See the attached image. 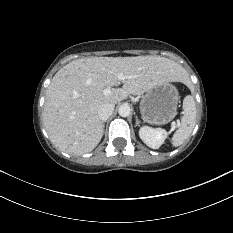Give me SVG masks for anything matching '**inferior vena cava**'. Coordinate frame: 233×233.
<instances>
[{
  "label": "inferior vena cava",
  "instance_id": "inferior-vena-cava-1",
  "mask_svg": "<svg viewBox=\"0 0 233 233\" xmlns=\"http://www.w3.org/2000/svg\"><path fill=\"white\" fill-rule=\"evenodd\" d=\"M115 105L112 103L102 104L98 109L99 119L106 121L113 113Z\"/></svg>",
  "mask_w": 233,
  "mask_h": 233
}]
</instances>
